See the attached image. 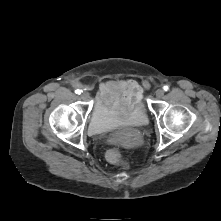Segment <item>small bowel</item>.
Returning a JSON list of instances; mask_svg holds the SVG:
<instances>
[{"label": "small bowel", "mask_w": 221, "mask_h": 221, "mask_svg": "<svg viewBox=\"0 0 221 221\" xmlns=\"http://www.w3.org/2000/svg\"><path fill=\"white\" fill-rule=\"evenodd\" d=\"M108 103L121 101L128 108H134L142 98L143 87L135 80L104 82L100 86Z\"/></svg>", "instance_id": "1"}]
</instances>
